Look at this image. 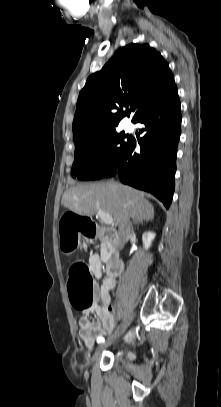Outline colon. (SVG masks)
<instances>
[{
  "label": "colon",
  "instance_id": "5ec220e1",
  "mask_svg": "<svg viewBox=\"0 0 221 407\" xmlns=\"http://www.w3.org/2000/svg\"><path fill=\"white\" fill-rule=\"evenodd\" d=\"M59 232L64 251H71L77 245V239H96L103 237L102 223L96 222L94 216H79L77 210H67L59 218ZM97 231L98 232L97 234ZM68 293L73 307L87 310L91 307L94 282L89 268L82 262L74 263L69 271Z\"/></svg>",
  "mask_w": 221,
  "mask_h": 407
}]
</instances>
